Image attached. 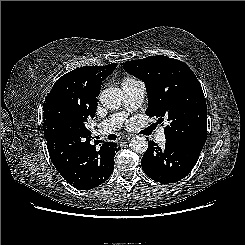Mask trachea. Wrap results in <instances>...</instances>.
Masks as SVG:
<instances>
[{
    "mask_svg": "<svg viewBox=\"0 0 245 245\" xmlns=\"http://www.w3.org/2000/svg\"><path fill=\"white\" fill-rule=\"evenodd\" d=\"M108 138H109V140H114L116 138V136L111 134V135L108 136Z\"/></svg>",
    "mask_w": 245,
    "mask_h": 245,
    "instance_id": "obj_1",
    "label": "trachea"
}]
</instances>
